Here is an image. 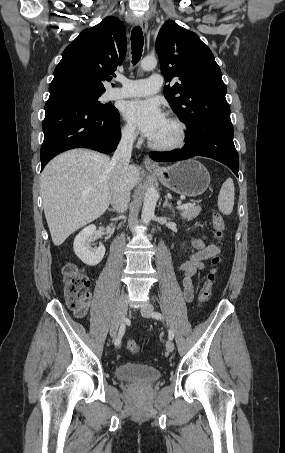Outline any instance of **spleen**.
<instances>
[{"label":"spleen","instance_id":"obj_1","mask_svg":"<svg viewBox=\"0 0 285 453\" xmlns=\"http://www.w3.org/2000/svg\"><path fill=\"white\" fill-rule=\"evenodd\" d=\"M234 183L232 178H227L223 183L218 196V209L224 215H230L234 207Z\"/></svg>","mask_w":285,"mask_h":453}]
</instances>
